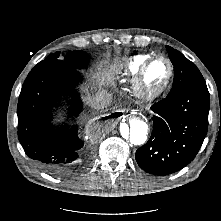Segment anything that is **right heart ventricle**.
Wrapping results in <instances>:
<instances>
[{"label": "right heart ventricle", "mask_w": 221, "mask_h": 221, "mask_svg": "<svg viewBox=\"0 0 221 221\" xmlns=\"http://www.w3.org/2000/svg\"><path fill=\"white\" fill-rule=\"evenodd\" d=\"M153 56L150 53H143V54H136L124 63L123 65V72L127 77H135L136 74L139 72L143 63Z\"/></svg>", "instance_id": "obj_1"}]
</instances>
